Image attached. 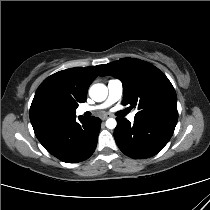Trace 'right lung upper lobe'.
<instances>
[{"instance_id":"cb5924a9","label":"right lung upper lobe","mask_w":210,"mask_h":210,"mask_svg":"<svg viewBox=\"0 0 210 210\" xmlns=\"http://www.w3.org/2000/svg\"><path fill=\"white\" fill-rule=\"evenodd\" d=\"M102 67L103 65L70 68L46 78L32 101L29 112L31 123L38 112L49 104L63 105L68 109V117L74 116L78 104L86 101L87 90Z\"/></svg>"}]
</instances>
